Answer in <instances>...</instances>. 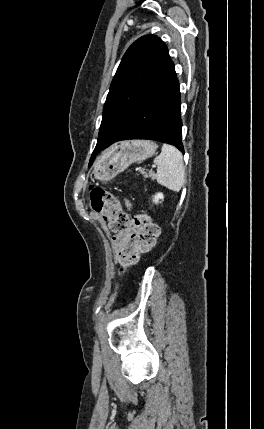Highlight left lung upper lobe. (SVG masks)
I'll return each instance as SVG.
<instances>
[{"mask_svg": "<svg viewBox=\"0 0 264 429\" xmlns=\"http://www.w3.org/2000/svg\"><path fill=\"white\" fill-rule=\"evenodd\" d=\"M169 58L166 45L155 35L142 36L128 48L107 95L94 152L122 136L137 107L162 76Z\"/></svg>", "mask_w": 264, "mask_h": 429, "instance_id": "obj_1", "label": "left lung upper lobe"}]
</instances>
